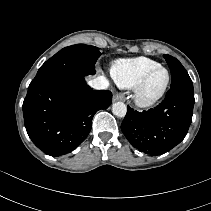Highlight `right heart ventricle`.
Wrapping results in <instances>:
<instances>
[{
  "label": "right heart ventricle",
  "instance_id": "e07e8e85",
  "mask_svg": "<svg viewBox=\"0 0 211 211\" xmlns=\"http://www.w3.org/2000/svg\"><path fill=\"white\" fill-rule=\"evenodd\" d=\"M159 65L157 61L147 57L123 59L113 65L111 75L119 87L131 89L138 85L149 70Z\"/></svg>",
  "mask_w": 211,
  "mask_h": 211
}]
</instances>
